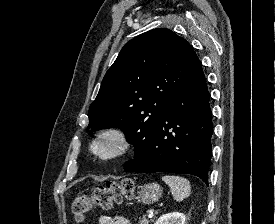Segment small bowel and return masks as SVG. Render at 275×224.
Listing matches in <instances>:
<instances>
[{"mask_svg":"<svg viewBox=\"0 0 275 224\" xmlns=\"http://www.w3.org/2000/svg\"><path fill=\"white\" fill-rule=\"evenodd\" d=\"M97 224H130L129 221L121 216H108V215H101L98 218Z\"/></svg>","mask_w":275,"mask_h":224,"instance_id":"c3829d8e","label":"small bowel"}]
</instances>
